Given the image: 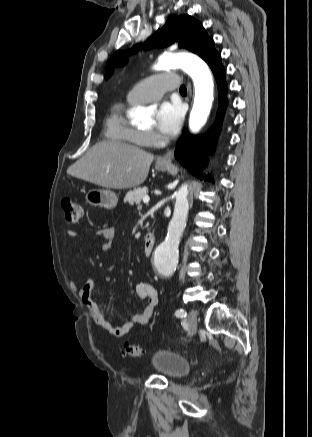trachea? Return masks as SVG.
Instances as JSON below:
<instances>
[{
  "label": "trachea",
  "mask_w": 312,
  "mask_h": 437,
  "mask_svg": "<svg viewBox=\"0 0 312 437\" xmlns=\"http://www.w3.org/2000/svg\"><path fill=\"white\" fill-rule=\"evenodd\" d=\"M180 93H187V89H186L185 85H182L180 87Z\"/></svg>",
  "instance_id": "obj_1"
}]
</instances>
